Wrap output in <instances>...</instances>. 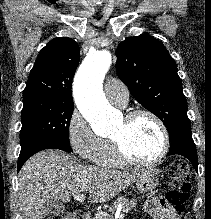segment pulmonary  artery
I'll return each instance as SVG.
<instances>
[{
	"mask_svg": "<svg viewBox=\"0 0 211 219\" xmlns=\"http://www.w3.org/2000/svg\"><path fill=\"white\" fill-rule=\"evenodd\" d=\"M107 99L118 107H125L129 101V91L125 84L115 78L108 79L104 84Z\"/></svg>",
	"mask_w": 211,
	"mask_h": 219,
	"instance_id": "e3ab8cb5",
	"label": "pulmonary artery"
}]
</instances>
